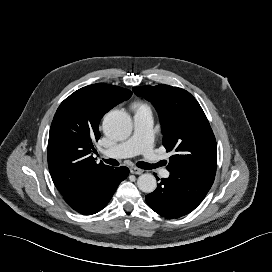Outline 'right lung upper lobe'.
Returning <instances> with one entry per match:
<instances>
[{
    "label": "right lung upper lobe",
    "instance_id": "cb5924a9",
    "mask_svg": "<svg viewBox=\"0 0 272 272\" xmlns=\"http://www.w3.org/2000/svg\"><path fill=\"white\" fill-rule=\"evenodd\" d=\"M132 92L115 85L97 83L67 97L53 118L48 141V167L61 195L76 193L112 167L96 163L92 153L100 138L101 118Z\"/></svg>",
    "mask_w": 272,
    "mask_h": 272
}]
</instances>
